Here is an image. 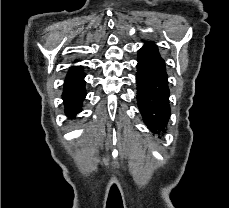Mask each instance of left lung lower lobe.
<instances>
[{
    "mask_svg": "<svg viewBox=\"0 0 229 208\" xmlns=\"http://www.w3.org/2000/svg\"><path fill=\"white\" fill-rule=\"evenodd\" d=\"M138 62L137 101L143 121L153 134L164 132L170 117L168 81L156 76L146 62Z\"/></svg>",
    "mask_w": 229,
    "mask_h": 208,
    "instance_id": "1",
    "label": "left lung lower lobe"
}]
</instances>
